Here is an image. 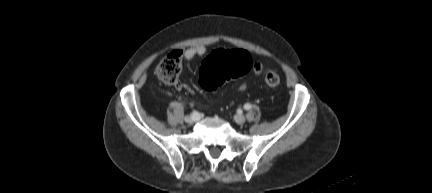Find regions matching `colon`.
Listing matches in <instances>:
<instances>
[{
	"label": "colon",
	"instance_id": "obj_1",
	"mask_svg": "<svg viewBox=\"0 0 432 193\" xmlns=\"http://www.w3.org/2000/svg\"><path fill=\"white\" fill-rule=\"evenodd\" d=\"M181 54L173 51L161 59L156 75L166 84H175L181 72ZM253 61L250 55L238 49L214 51L202 64L200 84L207 90L216 89L224 80L243 76L250 72ZM280 76L274 71L265 74V83L270 87L280 84Z\"/></svg>",
	"mask_w": 432,
	"mask_h": 193
}]
</instances>
